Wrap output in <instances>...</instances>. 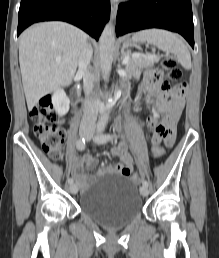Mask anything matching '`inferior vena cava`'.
Instances as JSON below:
<instances>
[{"mask_svg":"<svg viewBox=\"0 0 219 258\" xmlns=\"http://www.w3.org/2000/svg\"><path fill=\"white\" fill-rule=\"evenodd\" d=\"M93 49L86 43L78 60L79 72L83 75V87L86 95L84 104V114L81 120L80 129L93 133L96 127V120L100 108V101L91 98L94 87V78L89 71V65L92 58Z\"/></svg>","mask_w":219,"mask_h":258,"instance_id":"obj_1","label":"inferior vena cava"}]
</instances>
